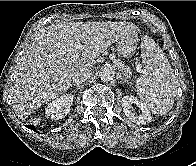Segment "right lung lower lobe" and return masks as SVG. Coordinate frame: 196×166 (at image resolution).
<instances>
[{
    "mask_svg": "<svg viewBox=\"0 0 196 166\" xmlns=\"http://www.w3.org/2000/svg\"><path fill=\"white\" fill-rule=\"evenodd\" d=\"M27 128L34 130L36 132L35 127L33 125H27Z\"/></svg>",
    "mask_w": 196,
    "mask_h": 166,
    "instance_id": "obj_1",
    "label": "right lung lower lobe"
}]
</instances>
